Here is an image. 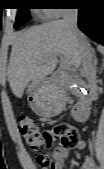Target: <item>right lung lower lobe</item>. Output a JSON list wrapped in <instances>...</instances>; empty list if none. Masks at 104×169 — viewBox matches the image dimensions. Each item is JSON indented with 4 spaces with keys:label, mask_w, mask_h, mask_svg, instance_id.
I'll list each match as a JSON object with an SVG mask.
<instances>
[{
    "label": "right lung lower lobe",
    "mask_w": 104,
    "mask_h": 169,
    "mask_svg": "<svg viewBox=\"0 0 104 169\" xmlns=\"http://www.w3.org/2000/svg\"><path fill=\"white\" fill-rule=\"evenodd\" d=\"M78 27L88 37L104 45V0H76Z\"/></svg>",
    "instance_id": "obj_1"
}]
</instances>
